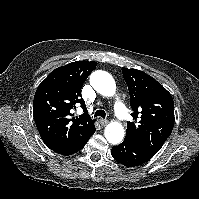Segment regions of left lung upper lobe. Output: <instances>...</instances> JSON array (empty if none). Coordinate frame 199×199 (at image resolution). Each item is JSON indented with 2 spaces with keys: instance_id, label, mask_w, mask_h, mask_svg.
I'll return each instance as SVG.
<instances>
[{
  "instance_id": "5c2ea615",
  "label": "left lung upper lobe",
  "mask_w": 199,
  "mask_h": 199,
  "mask_svg": "<svg viewBox=\"0 0 199 199\" xmlns=\"http://www.w3.org/2000/svg\"><path fill=\"white\" fill-rule=\"evenodd\" d=\"M127 83L132 117L127 122L126 137L156 154L170 136L174 126V102L171 94L143 71L122 68Z\"/></svg>"
}]
</instances>
